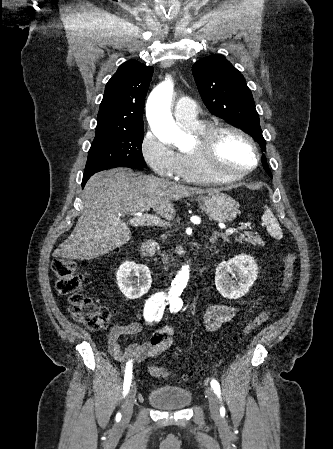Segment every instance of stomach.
<instances>
[{
  "label": "stomach",
  "mask_w": 333,
  "mask_h": 449,
  "mask_svg": "<svg viewBox=\"0 0 333 449\" xmlns=\"http://www.w3.org/2000/svg\"><path fill=\"white\" fill-rule=\"evenodd\" d=\"M198 202L210 219L217 222L232 221L239 212L238 203L232 197L220 192L201 196Z\"/></svg>",
  "instance_id": "stomach-1"
}]
</instances>
